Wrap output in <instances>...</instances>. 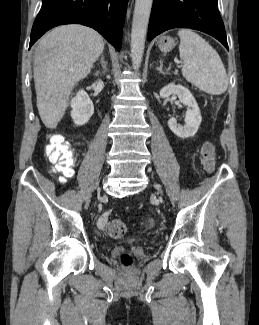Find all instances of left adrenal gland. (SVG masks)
<instances>
[{
    "instance_id": "a2214340",
    "label": "left adrenal gland",
    "mask_w": 259,
    "mask_h": 325,
    "mask_svg": "<svg viewBox=\"0 0 259 325\" xmlns=\"http://www.w3.org/2000/svg\"><path fill=\"white\" fill-rule=\"evenodd\" d=\"M160 65L159 67H157V71H159V73L165 75L166 73L163 71L162 67H163V61H159Z\"/></svg>"
}]
</instances>
